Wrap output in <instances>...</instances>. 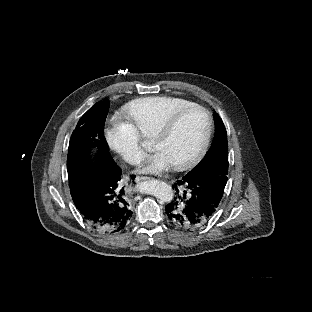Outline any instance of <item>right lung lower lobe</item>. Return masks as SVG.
Returning <instances> with one entry per match:
<instances>
[{
  "label": "right lung lower lobe",
  "mask_w": 312,
  "mask_h": 312,
  "mask_svg": "<svg viewBox=\"0 0 312 312\" xmlns=\"http://www.w3.org/2000/svg\"><path fill=\"white\" fill-rule=\"evenodd\" d=\"M82 168L84 171L73 176L69 186L84 221L105 234L125 231L133 212L128 194L119 182L122 174L119 167L109 158Z\"/></svg>",
  "instance_id": "1"
}]
</instances>
